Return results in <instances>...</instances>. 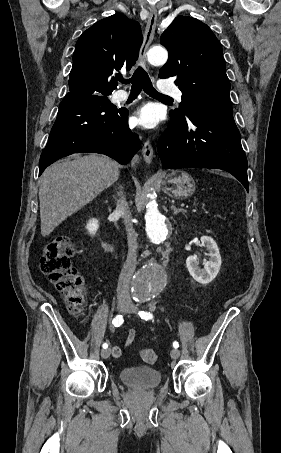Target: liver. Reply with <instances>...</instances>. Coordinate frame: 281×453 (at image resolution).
Segmentation results:
<instances>
[{
    "instance_id": "obj_1",
    "label": "liver",
    "mask_w": 281,
    "mask_h": 453,
    "mask_svg": "<svg viewBox=\"0 0 281 453\" xmlns=\"http://www.w3.org/2000/svg\"><path fill=\"white\" fill-rule=\"evenodd\" d=\"M119 164L104 154L57 160L44 170L39 186L41 235L54 229L118 180Z\"/></svg>"
}]
</instances>
